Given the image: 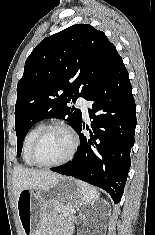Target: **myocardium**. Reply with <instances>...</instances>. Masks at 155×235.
<instances>
[{"label": "myocardium", "mask_w": 155, "mask_h": 235, "mask_svg": "<svg viewBox=\"0 0 155 235\" xmlns=\"http://www.w3.org/2000/svg\"><path fill=\"white\" fill-rule=\"evenodd\" d=\"M54 129L62 130L69 136V138L71 140L70 151L67 154V156L60 161H57L54 163H42V162L38 161V159L36 158V148H37L38 144L41 142V140L43 139V137L48 132H50L51 130H54ZM78 145H79V138L72 127H70L69 125H67L66 123H63V122H53V123L45 125L44 128L35 137L32 145H31V148H30V158H31L32 162L36 166H39V167L53 168V167L62 166L64 164H67L68 162H70L74 158V156L77 152V149H78Z\"/></svg>", "instance_id": "myocardium-1"}]
</instances>
